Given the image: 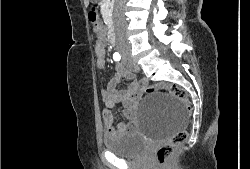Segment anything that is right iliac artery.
Here are the masks:
<instances>
[{
    "label": "right iliac artery",
    "mask_w": 250,
    "mask_h": 169,
    "mask_svg": "<svg viewBox=\"0 0 250 169\" xmlns=\"http://www.w3.org/2000/svg\"><path fill=\"white\" fill-rule=\"evenodd\" d=\"M113 59H114L115 61H119V60L121 59L120 54H119V53H114V54H113Z\"/></svg>",
    "instance_id": "1"
}]
</instances>
